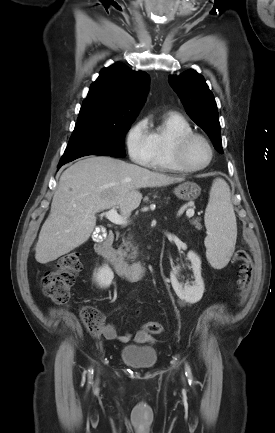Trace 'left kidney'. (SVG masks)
<instances>
[{
    "instance_id": "5707ae66",
    "label": "left kidney",
    "mask_w": 275,
    "mask_h": 433,
    "mask_svg": "<svg viewBox=\"0 0 275 433\" xmlns=\"http://www.w3.org/2000/svg\"><path fill=\"white\" fill-rule=\"evenodd\" d=\"M188 259L191 261L195 281L192 286L179 283L176 274L178 267L170 274V280L177 296L188 303H196L201 300L204 293V282L201 276V260L193 251L188 252Z\"/></svg>"
}]
</instances>
